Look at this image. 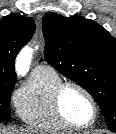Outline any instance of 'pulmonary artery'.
<instances>
[{
  "label": "pulmonary artery",
  "instance_id": "obj_1",
  "mask_svg": "<svg viewBox=\"0 0 116 134\" xmlns=\"http://www.w3.org/2000/svg\"><path fill=\"white\" fill-rule=\"evenodd\" d=\"M42 67H49V66H38V67H36V69H39V68H42Z\"/></svg>",
  "mask_w": 116,
  "mask_h": 134
}]
</instances>
